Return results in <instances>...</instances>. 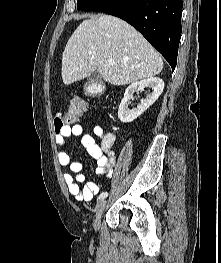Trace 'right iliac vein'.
I'll return each instance as SVG.
<instances>
[{
    "mask_svg": "<svg viewBox=\"0 0 221 263\" xmlns=\"http://www.w3.org/2000/svg\"><path fill=\"white\" fill-rule=\"evenodd\" d=\"M106 207V200L101 199L97 202L96 207H95V217L93 220V227L94 229H98L100 226V218L103 213V210Z\"/></svg>",
    "mask_w": 221,
    "mask_h": 263,
    "instance_id": "obj_1",
    "label": "right iliac vein"
}]
</instances>
